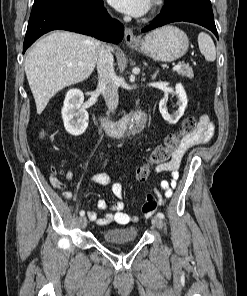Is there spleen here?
Returning a JSON list of instances; mask_svg holds the SVG:
<instances>
[{
	"mask_svg": "<svg viewBox=\"0 0 247 296\" xmlns=\"http://www.w3.org/2000/svg\"><path fill=\"white\" fill-rule=\"evenodd\" d=\"M198 45L200 52L204 55L205 59L209 62H213L216 59V48L211 37L201 32L198 35Z\"/></svg>",
	"mask_w": 247,
	"mask_h": 296,
	"instance_id": "3e777b00",
	"label": "spleen"
}]
</instances>
